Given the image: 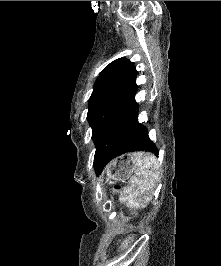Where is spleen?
Instances as JSON below:
<instances>
[{"instance_id":"1","label":"spleen","mask_w":221,"mask_h":266,"mask_svg":"<svg viewBox=\"0 0 221 266\" xmlns=\"http://www.w3.org/2000/svg\"><path fill=\"white\" fill-rule=\"evenodd\" d=\"M133 162L137 170L125 189L126 199L129 204L142 207L151 200V194L157 187L160 166L155 156L142 152L133 154Z\"/></svg>"}]
</instances>
